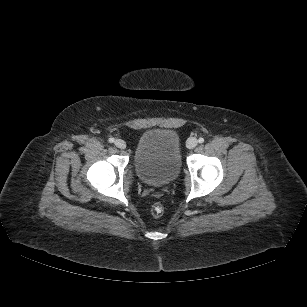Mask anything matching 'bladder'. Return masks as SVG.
I'll use <instances>...</instances> for the list:
<instances>
[{"label": "bladder", "mask_w": 307, "mask_h": 307, "mask_svg": "<svg viewBox=\"0 0 307 307\" xmlns=\"http://www.w3.org/2000/svg\"><path fill=\"white\" fill-rule=\"evenodd\" d=\"M133 163L143 183L157 187L169 184L181 169L177 134L170 129L144 132L137 141Z\"/></svg>", "instance_id": "obj_1"}]
</instances>
